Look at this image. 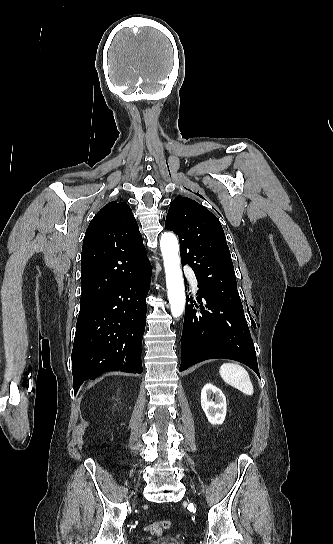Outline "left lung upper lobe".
Wrapping results in <instances>:
<instances>
[{
    "label": "left lung upper lobe",
    "instance_id": "5c2ea615",
    "mask_svg": "<svg viewBox=\"0 0 333 544\" xmlns=\"http://www.w3.org/2000/svg\"><path fill=\"white\" fill-rule=\"evenodd\" d=\"M165 227L178 235L182 264L194 270L198 284L244 313L231 255L217 217L196 201L177 196L170 204Z\"/></svg>",
    "mask_w": 333,
    "mask_h": 544
}]
</instances>
